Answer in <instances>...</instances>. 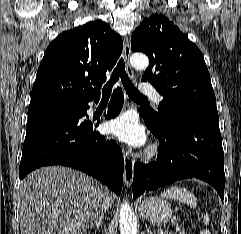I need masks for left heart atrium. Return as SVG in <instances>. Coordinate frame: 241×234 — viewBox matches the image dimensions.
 <instances>
[{"mask_svg": "<svg viewBox=\"0 0 241 234\" xmlns=\"http://www.w3.org/2000/svg\"><path fill=\"white\" fill-rule=\"evenodd\" d=\"M109 131L119 140L135 147L145 143L144 129L139 125L134 114L127 112L109 122Z\"/></svg>", "mask_w": 241, "mask_h": 234, "instance_id": "39dd6f15", "label": "left heart atrium"}]
</instances>
